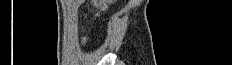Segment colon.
Instances as JSON below:
<instances>
[{"label":"colon","instance_id":"1","mask_svg":"<svg viewBox=\"0 0 232 65\" xmlns=\"http://www.w3.org/2000/svg\"><path fill=\"white\" fill-rule=\"evenodd\" d=\"M93 2L97 8L103 10L105 8V5L111 2V0H94Z\"/></svg>","mask_w":232,"mask_h":65}]
</instances>
